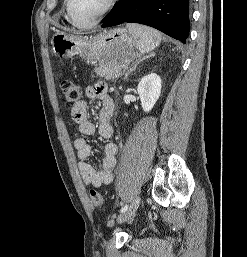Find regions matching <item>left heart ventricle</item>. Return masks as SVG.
Instances as JSON below:
<instances>
[{"mask_svg": "<svg viewBox=\"0 0 247 257\" xmlns=\"http://www.w3.org/2000/svg\"><path fill=\"white\" fill-rule=\"evenodd\" d=\"M108 1L109 0H71L72 16L78 23H89L99 15Z\"/></svg>", "mask_w": 247, "mask_h": 257, "instance_id": "left-heart-ventricle-1", "label": "left heart ventricle"}]
</instances>
